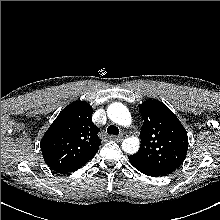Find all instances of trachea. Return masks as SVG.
I'll list each match as a JSON object with an SVG mask.
<instances>
[{"label": "trachea", "mask_w": 220, "mask_h": 220, "mask_svg": "<svg viewBox=\"0 0 220 220\" xmlns=\"http://www.w3.org/2000/svg\"><path fill=\"white\" fill-rule=\"evenodd\" d=\"M107 133L112 135H119V129L115 125H110L107 128Z\"/></svg>", "instance_id": "obj_1"}]
</instances>
